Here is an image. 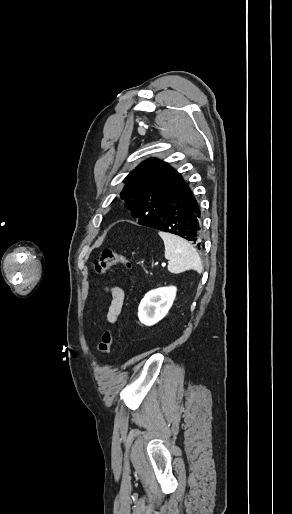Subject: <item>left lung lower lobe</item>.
Wrapping results in <instances>:
<instances>
[{
  "label": "left lung lower lobe",
  "mask_w": 292,
  "mask_h": 514,
  "mask_svg": "<svg viewBox=\"0 0 292 514\" xmlns=\"http://www.w3.org/2000/svg\"><path fill=\"white\" fill-rule=\"evenodd\" d=\"M145 226L178 235L201 248V212L186 182L171 196L160 214Z\"/></svg>",
  "instance_id": "1"
}]
</instances>
